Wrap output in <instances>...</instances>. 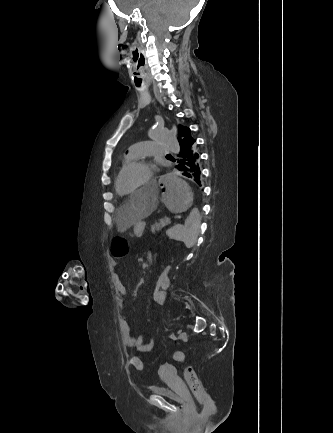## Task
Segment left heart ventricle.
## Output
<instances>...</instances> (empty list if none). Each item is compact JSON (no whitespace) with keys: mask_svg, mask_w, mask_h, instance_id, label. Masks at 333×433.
Segmentation results:
<instances>
[{"mask_svg":"<svg viewBox=\"0 0 333 433\" xmlns=\"http://www.w3.org/2000/svg\"><path fill=\"white\" fill-rule=\"evenodd\" d=\"M149 168L139 166L128 170L120 180V188L123 192H130L140 186L148 177Z\"/></svg>","mask_w":333,"mask_h":433,"instance_id":"b2bd125f","label":"left heart ventricle"}]
</instances>
